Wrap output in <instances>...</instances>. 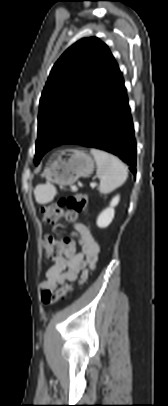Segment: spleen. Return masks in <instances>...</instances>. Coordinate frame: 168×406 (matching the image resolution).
<instances>
[{
	"instance_id": "obj_1",
	"label": "spleen",
	"mask_w": 168,
	"mask_h": 406,
	"mask_svg": "<svg viewBox=\"0 0 168 406\" xmlns=\"http://www.w3.org/2000/svg\"><path fill=\"white\" fill-rule=\"evenodd\" d=\"M90 152L97 164V177L100 179L99 191L101 194L112 192L126 181L128 170L122 161L98 149H91ZM35 194L39 202L46 203L54 198L56 189L51 184H41L36 187Z\"/></svg>"
}]
</instances>
